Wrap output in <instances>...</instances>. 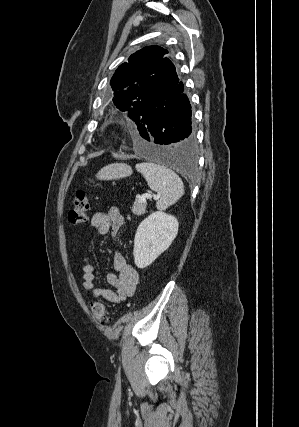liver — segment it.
I'll return each mask as SVG.
<instances>
[{
    "label": "liver",
    "mask_w": 299,
    "mask_h": 427,
    "mask_svg": "<svg viewBox=\"0 0 299 427\" xmlns=\"http://www.w3.org/2000/svg\"><path fill=\"white\" fill-rule=\"evenodd\" d=\"M132 173V169L127 164L116 163L110 164L103 167L96 175L98 179H115L120 177L129 176Z\"/></svg>",
    "instance_id": "1"
}]
</instances>
